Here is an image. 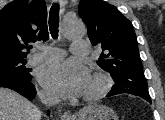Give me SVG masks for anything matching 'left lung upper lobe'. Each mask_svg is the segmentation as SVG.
Returning a JSON list of instances; mask_svg holds the SVG:
<instances>
[{
	"mask_svg": "<svg viewBox=\"0 0 165 120\" xmlns=\"http://www.w3.org/2000/svg\"><path fill=\"white\" fill-rule=\"evenodd\" d=\"M78 10L92 45L103 50L97 64L115 82L108 96L129 93L151 101L131 22L103 0H80Z\"/></svg>",
	"mask_w": 165,
	"mask_h": 120,
	"instance_id": "left-lung-upper-lobe-1",
	"label": "left lung upper lobe"
}]
</instances>
